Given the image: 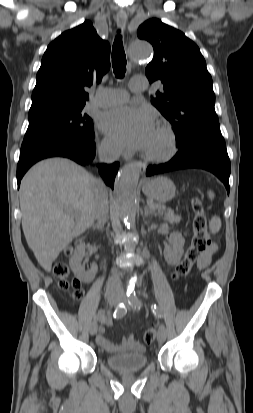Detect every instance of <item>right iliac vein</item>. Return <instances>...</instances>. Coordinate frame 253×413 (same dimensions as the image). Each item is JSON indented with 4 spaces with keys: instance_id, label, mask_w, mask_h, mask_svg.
<instances>
[{
    "instance_id": "63e3f726",
    "label": "right iliac vein",
    "mask_w": 253,
    "mask_h": 413,
    "mask_svg": "<svg viewBox=\"0 0 253 413\" xmlns=\"http://www.w3.org/2000/svg\"><path fill=\"white\" fill-rule=\"evenodd\" d=\"M119 299L118 296L114 293H108L107 294V302L109 305H116L118 303ZM98 331V324L96 321H94L91 326H90V334L94 336Z\"/></svg>"
}]
</instances>
